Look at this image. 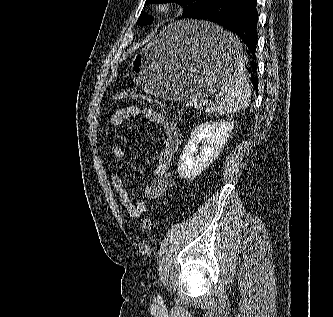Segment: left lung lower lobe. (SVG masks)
<instances>
[{
    "instance_id": "0a47b994",
    "label": "left lung lower lobe",
    "mask_w": 333,
    "mask_h": 317,
    "mask_svg": "<svg viewBox=\"0 0 333 317\" xmlns=\"http://www.w3.org/2000/svg\"><path fill=\"white\" fill-rule=\"evenodd\" d=\"M193 20H205L212 22L226 31L238 35L249 48L255 58L257 36V0H213L202 9L192 13L188 17ZM226 53L227 49L222 47ZM251 74V82L258 89V77L256 64L250 63L248 68Z\"/></svg>"
}]
</instances>
